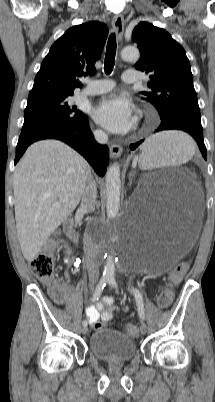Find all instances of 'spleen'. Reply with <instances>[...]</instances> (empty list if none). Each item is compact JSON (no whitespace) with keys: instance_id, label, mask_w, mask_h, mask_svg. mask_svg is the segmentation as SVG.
Segmentation results:
<instances>
[{"instance_id":"3e777b00","label":"spleen","mask_w":215,"mask_h":402,"mask_svg":"<svg viewBox=\"0 0 215 402\" xmlns=\"http://www.w3.org/2000/svg\"><path fill=\"white\" fill-rule=\"evenodd\" d=\"M141 149V167L151 169L186 162L193 154V143L190 133H185L184 128H175L174 132L149 138Z\"/></svg>"}]
</instances>
